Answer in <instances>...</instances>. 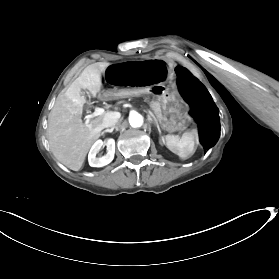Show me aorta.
<instances>
[{"label":"aorta","mask_w":279,"mask_h":279,"mask_svg":"<svg viewBox=\"0 0 279 279\" xmlns=\"http://www.w3.org/2000/svg\"><path fill=\"white\" fill-rule=\"evenodd\" d=\"M129 123L132 127H140L143 124V117L139 113H134L129 116Z\"/></svg>","instance_id":"aorta-1"}]
</instances>
